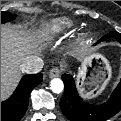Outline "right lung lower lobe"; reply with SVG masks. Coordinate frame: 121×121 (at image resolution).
Returning a JSON list of instances; mask_svg holds the SVG:
<instances>
[{
    "mask_svg": "<svg viewBox=\"0 0 121 121\" xmlns=\"http://www.w3.org/2000/svg\"><path fill=\"white\" fill-rule=\"evenodd\" d=\"M41 73L24 76L13 95L1 102V121H19L25 114L31 90L42 82Z\"/></svg>",
    "mask_w": 121,
    "mask_h": 121,
    "instance_id": "right-lung-lower-lobe-1",
    "label": "right lung lower lobe"
}]
</instances>
